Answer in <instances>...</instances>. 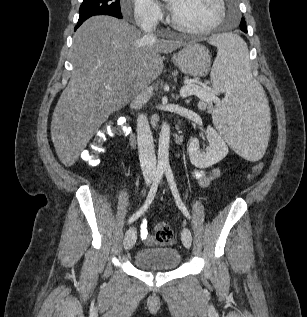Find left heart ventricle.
Masks as SVG:
<instances>
[{"mask_svg": "<svg viewBox=\"0 0 307 317\" xmlns=\"http://www.w3.org/2000/svg\"><path fill=\"white\" fill-rule=\"evenodd\" d=\"M171 3L175 19L190 28L212 24L219 12L216 0H171Z\"/></svg>", "mask_w": 307, "mask_h": 317, "instance_id": "left-heart-ventricle-1", "label": "left heart ventricle"}]
</instances>
